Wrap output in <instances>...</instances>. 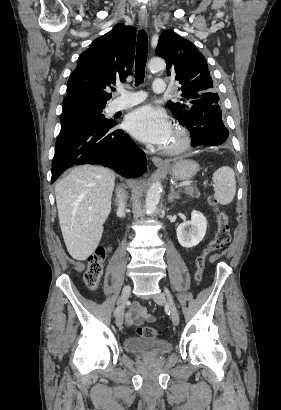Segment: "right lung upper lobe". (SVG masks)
<instances>
[{
  "label": "right lung upper lobe",
  "mask_w": 281,
  "mask_h": 410,
  "mask_svg": "<svg viewBox=\"0 0 281 410\" xmlns=\"http://www.w3.org/2000/svg\"><path fill=\"white\" fill-rule=\"evenodd\" d=\"M136 31L117 24L95 39L78 58L77 67L67 82L63 107L76 104L105 106L106 92L116 80L124 82L134 62Z\"/></svg>",
  "instance_id": "1"
}]
</instances>
